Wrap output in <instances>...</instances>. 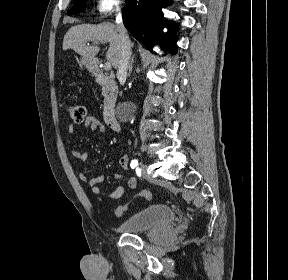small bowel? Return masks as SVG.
Wrapping results in <instances>:
<instances>
[{"label": "small bowel", "mask_w": 288, "mask_h": 280, "mask_svg": "<svg viewBox=\"0 0 288 280\" xmlns=\"http://www.w3.org/2000/svg\"><path fill=\"white\" fill-rule=\"evenodd\" d=\"M83 128L84 129H90L93 132H97V133H101L105 130L104 124L97 117H95L93 115H89L85 118V120L83 122ZM68 130H69L70 134H75V128L72 124L69 125ZM71 153L80 162H86L88 160V157H89L87 152L72 150ZM119 164L124 170L129 169V159H128V156L126 154L123 153L119 156ZM79 179L87 185L90 192L94 196L106 197L108 199L116 200V199L121 198L125 192V187L122 185L117 186L113 191H110V192L103 190L100 187V184L105 179L104 175H98L95 177H90L86 173L81 172L79 174ZM114 179L117 181L125 180L126 185L129 189L134 190L137 187V180L135 177H128L125 179L123 177V175L116 174Z\"/></svg>", "instance_id": "obj_1"}]
</instances>
